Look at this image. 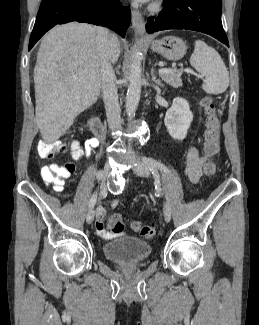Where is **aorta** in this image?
Here are the masks:
<instances>
[{"label":"aorta","instance_id":"obj_1","mask_svg":"<svg viewBox=\"0 0 259 325\" xmlns=\"http://www.w3.org/2000/svg\"><path fill=\"white\" fill-rule=\"evenodd\" d=\"M141 57L142 53L140 49L135 46L129 75V86L126 95V114L128 120H132V118L135 116V112L140 100L142 86Z\"/></svg>","mask_w":259,"mask_h":325}]
</instances>
